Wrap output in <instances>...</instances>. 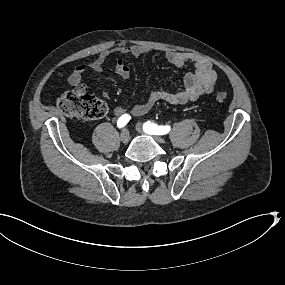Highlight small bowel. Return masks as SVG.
Wrapping results in <instances>:
<instances>
[{
	"instance_id": "obj_1",
	"label": "small bowel",
	"mask_w": 285,
	"mask_h": 285,
	"mask_svg": "<svg viewBox=\"0 0 285 285\" xmlns=\"http://www.w3.org/2000/svg\"><path fill=\"white\" fill-rule=\"evenodd\" d=\"M147 52V48L140 45L120 44L112 50L102 52L90 64L76 67L69 77V83L75 90L86 92L87 86L83 82L84 74L87 71L101 72L106 60L112 53L140 57ZM165 56L167 61L176 67H182L187 63H191L194 66V71L186 74L183 87L177 91L152 90L146 101L133 106L131 112L134 116H141L147 113L159 101L180 105L195 101L213 91L217 83V73L209 60L200 55L188 52L169 51ZM116 71L124 80L130 75L129 67L121 59L116 63ZM103 96L108 98L109 93L104 91ZM114 113L116 116L121 117L126 113V110L123 107H117Z\"/></svg>"
}]
</instances>
